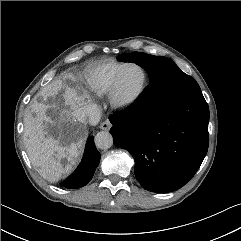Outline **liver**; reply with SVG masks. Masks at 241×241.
<instances>
[{
	"label": "liver",
	"mask_w": 241,
	"mask_h": 241,
	"mask_svg": "<svg viewBox=\"0 0 241 241\" xmlns=\"http://www.w3.org/2000/svg\"><path fill=\"white\" fill-rule=\"evenodd\" d=\"M41 95L45 99L38 102L35 98L25 117L24 141L32 165L44 179L56 182L72 170L85 141L87 132L81 123L86 97L61 80L51 83ZM49 125L57 128V138L48 133Z\"/></svg>",
	"instance_id": "liver-1"
}]
</instances>
